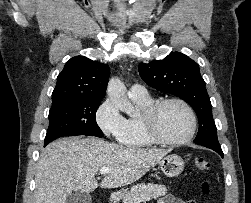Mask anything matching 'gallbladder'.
I'll list each match as a JSON object with an SVG mask.
<instances>
[{
    "label": "gallbladder",
    "instance_id": "1",
    "mask_svg": "<svg viewBox=\"0 0 251 203\" xmlns=\"http://www.w3.org/2000/svg\"><path fill=\"white\" fill-rule=\"evenodd\" d=\"M65 203H92V197L90 194L74 191L67 196Z\"/></svg>",
    "mask_w": 251,
    "mask_h": 203
}]
</instances>
